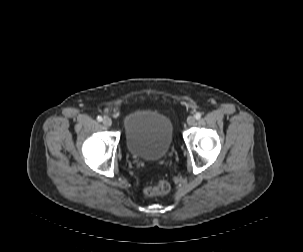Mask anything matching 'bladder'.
<instances>
[{
    "instance_id": "1",
    "label": "bladder",
    "mask_w": 303,
    "mask_h": 252,
    "mask_svg": "<svg viewBox=\"0 0 303 252\" xmlns=\"http://www.w3.org/2000/svg\"><path fill=\"white\" fill-rule=\"evenodd\" d=\"M124 134L130 156L146 161L165 158L173 142V127L168 117L151 110L127 115L124 119Z\"/></svg>"
}]
</instances>
